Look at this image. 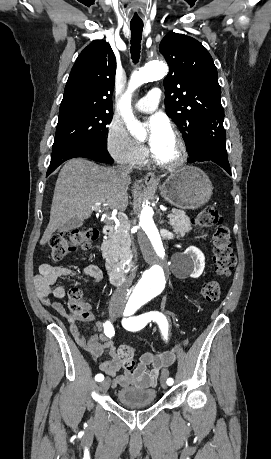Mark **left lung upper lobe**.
Returning <instances> with one entry per match:
<instances>
[{
	"mask_svg": "<svg viewBox=\"0 0 271 459\" xmlns=\"http://www.w3.org/2000/svg\"><path fill=\"white\" fill-rule=\"evenodd\" d=\"M159 49L170 68L164 79L166 113L183 133L191 158L200 149L201 132L224 120L217 69L209 52L189 36L169 32Z\"/></svg>",
	"mask_w": 271,
	"mask_h": 459,
	"instance_id": "1",
	"label": "left lung upper lobe"
}]
</instances>
